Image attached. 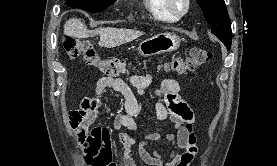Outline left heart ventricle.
<instances>
[{
  "label": "left heart ventricle",
  "mask_w": 277,
  "mask_h": 166,
  "mask_svg": "<svg viewBox=\"0 0 277 166\" xmlns=\"http://www.w3.org/2000/svg\"><path fill=\"white\" fill-rule=\"evenodd\" d=\"M172 1H173L174 7H175L177 10L181 11V10L184 9V7H185V2H184V0H172Z\"/></svg>",
  "instance_id": "left-heart-ventricle-1"
}]
</instances>
